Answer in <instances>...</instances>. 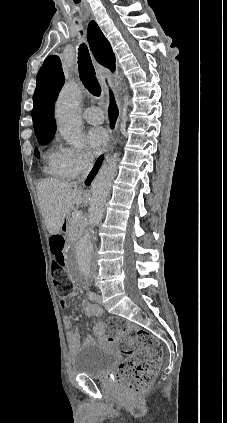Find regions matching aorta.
<instances>
[{
    "mask_svg": "<svg viewBox=\"0 0 227 423\" xmlns=\"http://www.w3.org/2000/svg\"><path fill=\"white\" fill-rule=\"evenodd\" d=\"M82 91L76 82H67L56 101V119L59 132L65 141L75 147L82 145V121L80 100ZM119 155L106 160L96 175L91 187L88 216L89 228L85 235L70 245L66 252V269L70 279L80 285H87L94 277L97 256L93 243L94 228L99 225L104 213L107 196L117 173Z\"/></svg>",
    "mask_w": 227,
    "mask_h": 423,
    "instance_id": "aorta-1",
    "label": "aorta"
}]
</instances>
